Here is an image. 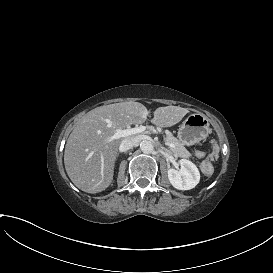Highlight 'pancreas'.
I'll return each mask as SVG.
<instances>
[{"instance_id":"cf45deb5","label":"pancreas","mask_w":273,"mask_h":273,"mask_svg":"<svg viewBox=\"0 0 273 273\" xmlns=\"http://www.w3.org/2000/svg\"><path fill=\"white\" fill-rule=\"evenodd\" d=\"M165 141L171 142L174 144V149L168 147V152L172 153L178 157L189 159L190 153L186 150V148L180 144V142L174 138L170 133L165 138Z\"/></svg>"}]
</instances>
